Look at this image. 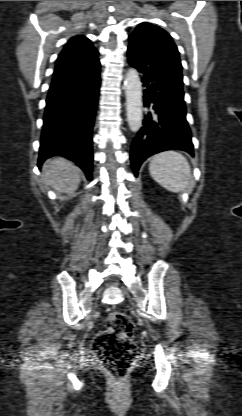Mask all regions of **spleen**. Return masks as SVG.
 Here are the masks:
<instances>
[{
	"label": "spleen",
	"instance_id": "obj_1",
	"mask_svg": "<svg viewBox=\"0 0 242 416\" xmlns=\"http://www.w3.org/2000/svg\"><path fill=\"white\" fill-rule=\"evenodd\" d=\"M149 172L157 183L175 193L184 191L191 180L188 161L182 154L172 150L154 155Z\"/></svg>",
	"mask_w": 242,
	"mask_h": 416
}]
</instances>
